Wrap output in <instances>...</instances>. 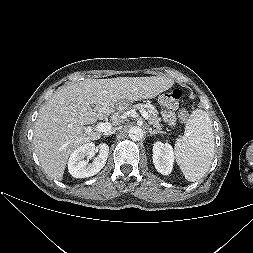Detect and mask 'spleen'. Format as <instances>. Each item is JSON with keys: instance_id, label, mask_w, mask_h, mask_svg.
<instances>
[{"instance_id": "3e777b00", "label": "spleen", "mask_w": 253, "mask_h": 253, "mask_svg": "<svg viewBox=\"0 0 253 253\" xmlns=\"http://www.w3.org/2000/svg\"><path fill=\"white\" fill-rule=\"evenodd\" d=\"M214 133L209 115L202 109L192 112L186 133L177 139L175 157L183 175L195 182L209 170L214 156Z\"/></svg>"}]
</instances>
